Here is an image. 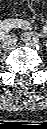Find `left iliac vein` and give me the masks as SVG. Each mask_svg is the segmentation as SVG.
<instances>
[{
    "mask_svg": "<svg viewBox=\"0 0 47 129\" xmlns=\"http://www.w3.org/2000/svg\"><path fill=\"white\" fill-rule=\"evenodd\" d=\"M21 38L27 45L35 46L39 44V36L36 33L25 32Z\"/></svg>",
    "mask_w": 47,
    "mask_h": 129,
    "instance_id": "1",
    "label": "left iliac vein"
}]
</instances>
